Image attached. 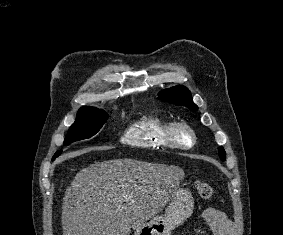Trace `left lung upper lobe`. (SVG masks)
Instances as JSON below:
<instances>
[{
    "label": "left lung upper lobe",
    "instance_id": "1",
    "mask_svg": "<svg viewBox=\"0 0 283 235\" xmlns=\"http://www.w3.org/2000/svg\"><path fill=\"white\" fill-rule=\"evenodd\" d=\"M159 99L169 101L171 103L188 107L191 110H196L197 106L192 101L190 91L184 86H175L165 89L159 94ZM219 155L222 161L226 159V153L223 147H219Z\"/></svg>",
    "mask_w": 283,
    "mask_h": 235
}]
</instances>
